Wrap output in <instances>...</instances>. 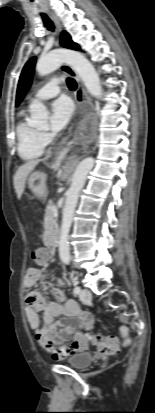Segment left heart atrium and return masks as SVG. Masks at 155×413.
<instances>
[{
  "label": "left heart atrium",
  "instance_id": "39dd6f15",
  "mask_svg": "<svg viewBox=\"0 0 155 413\" xmlns=\"http://www.w3.org/2000/svg\"><path fill=\"white\" fill-rule=\"evenodd\" d=\"M73 116V105L67 98H59L52 104L50 127L53 134L61 132Z\"/></svg>",
  "mask_w": 155,
  "mask_h": 413
}]
</instances>
